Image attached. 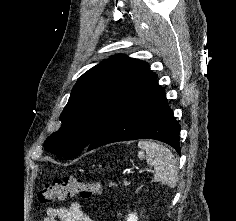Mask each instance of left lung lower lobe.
Returning a JSON list of instances; mask_svg holds the SVG:
<instances>
[{
	"mask_svg": "<svg viewBox=\"0 0 236 221\" xmlns=\"http://www.w3.org/2000/svg\"><path fill=\"white\" fill-rule=\"evenodd\" d=\"M156 79L152 73L110 113L87 146L88 151L113 142L151 138L169 144L181 154L180 125Z\"/></svg>",
	"mask_w": 236,
	"mask_h": 221,
	"instance_id": "left-lung-lower-lobe-1",
	"label": "left lung lower lobe"
}]
</instances>
